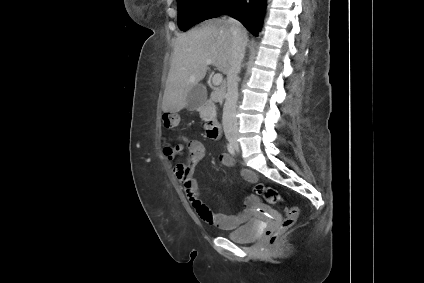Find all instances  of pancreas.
Returning <instances> with one entry per match:
<instances>
[{"instance_id": "pancreas-1", "label": "pancreas", "mask_w": 424, "mask_h": 283, "mask_svg": "<svg viewBox=\"0 0 424 283\" xmlns=\"http://www.w3.org/2000/svg\"><path fill=\"white\" fill-rule=\"evenodd\" d=\"M202 116H207L210 113V110L208 107H203L200 111Z\"/></svg>"}]
</instances>
